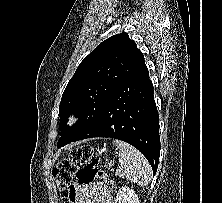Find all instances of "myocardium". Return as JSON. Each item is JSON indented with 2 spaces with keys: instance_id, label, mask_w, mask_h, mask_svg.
<instances>
[{
  "instance_id": "f54148a6",
  "label": "myocardium",
  "mask_w": 222,
  "mask_h": 203,
  "mask_svg": "<svg viewBox=\"0 0 222 203\" xmlns=\"http://www.w3.org/2000/svg\"><path fill=\"white\" fill-rule=\"evenodd\" d=\"M81 119V115L78 112L71 113L66 120L67 125H74Z\"/></svg>"
}]
</instances>
